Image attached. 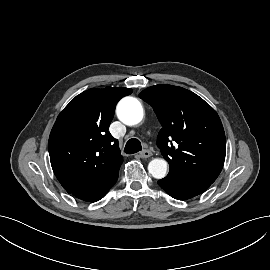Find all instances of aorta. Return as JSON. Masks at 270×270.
<instances>
[{"mask_svg": "<svg viewBox=\"0 0 270 270\" xmlns=\"http://www.w3.org/2000/svg\"><path fill=\"white\" fill-rule=\"evenodd\" d=\"M117 116L121 122L133 126L140 123L144 116L141 103L134 97H124L117 105ZM149 173L156 179L167 174V162L164 159H153L148 164Z\"/></svg>", "mask_w": 270, "mask_h": 270, "instance_id": "1", "label": "aorta"}]
</instances>
